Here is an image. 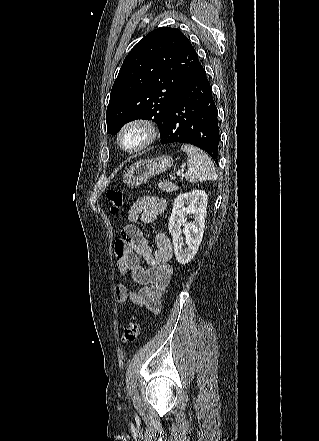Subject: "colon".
<instances>
[{"instance_id":"1","label":"colon","mask_w":319,"mask_h":441,"mask_svg":"<svg viewBox=\"0 0 319 441\" xmlns=\"http://www.w3.org/2000/svg\"><path fill=\"white\" fill-rule=\"evenodd\" d=\"M107 200L113 214H119L124 205V192L119 189H112L107 192ZM140 333V324L137 319L132 318L123 329L122 340L124 343H133Z\"/></svg>"}]
</instances>
